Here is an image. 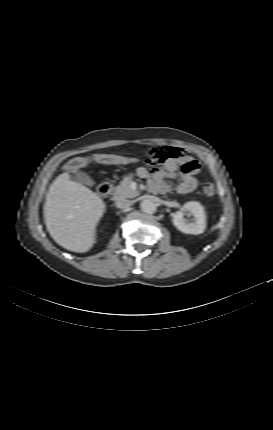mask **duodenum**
<instances>
[{
  "instance_id": "duodenum-1",
  "label": "duodenum",
  "mask_w": 273,
  "mask_h": 430,
  "mask_svg": "<svg viewBox=\"0 0 273 430\" xmlns=\"http://www.w3.org/2000/svg\"><path fill=\"white\" fill-rule=\"evenodd\" d=\"M110 190H111V184L109 180H103L97 186V191L101 196L108 195L110 193Z\"/></svg>"
}]
</instances>
